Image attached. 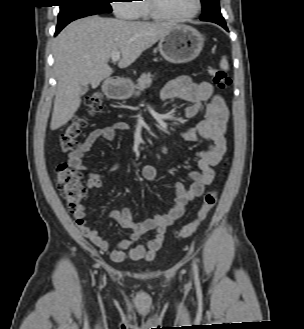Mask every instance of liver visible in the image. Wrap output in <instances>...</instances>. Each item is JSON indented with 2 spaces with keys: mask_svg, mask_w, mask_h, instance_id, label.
Here are the masks:
<instances>
[{
  "mask_svg": "<svg viewBox=\"0 0 304 329\" xmlns=\"http://www.w3.org/2000/svg\"><path fill=\"white\" fill-rule=\"evenodd\" d=\"M173 27L164 22L124 21L97 15L65 27L54 40L57 91L50 129L54 131L72 119L81 104V85L96 88L110 78L113 69L108 61L113 53L122 55L120 68L128 67Z\"/></svg>",
  "mask_w": 304,
  "mask_h": 329,
  "instance_id": "1",
  "label": "liver"
}]
</instances>
